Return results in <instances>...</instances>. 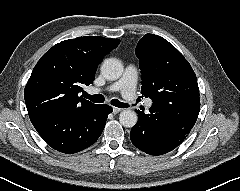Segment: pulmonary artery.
Masks as SVG:
<instances>
[{"instance_id": "pulmonary-artery-1", "label": "pulmonary artery", "mask_w": 240, "mask_h": 191, "mask_svg": "<svg viewBox=\"0 0 240 191\" xmlns=\"http://www.w3.org/2000/svg\"><path fill=\"white\" fill-rule=\"evenodd\" d=\"M137 69L134 66H127L123 76L110 85L107 89L109 91H119L122 97L128 102H134L136 99V83H137ZM93 93H97L100 90L97 88L91 89ZM144 105L149 108L152 106L150 99L145 100Z\"/></svg>"}]
</instances>
